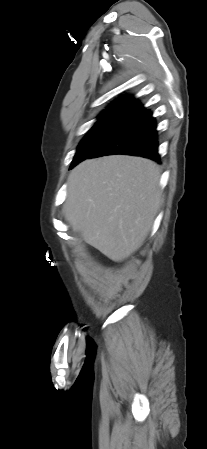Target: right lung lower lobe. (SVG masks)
<instances>
[{
	"label": "right lung lower lobe",
	"instance_id": "right-lung-lower-lobe-1",
	"mask_svg": "<svg viewBox=\"0 0 207 449\" xmlns=\"http://www.w3.org/2000/svg\"><path fill=\"white\" fill-rule=\"evenodd\" d=\"M112 154H127L155 161L160 160L156 124L151 112L145 109L141 111L88 158Z\"/></svg>",
	"mask_w": 207,
	"mask_h": 449
}]
</instances>
